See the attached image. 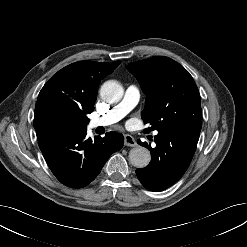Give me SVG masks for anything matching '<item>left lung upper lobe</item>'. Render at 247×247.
Returning <instances> with one entry per match:
<instances>
[{"instance_id": "5c2ea615", "label": "left lung upper lobe", "mask_w": 247, "mask_h": 247, "mask_svg": "<svg viewBox=\"0 0 247 247\" xmlns=\"http://www.w3.org/2000/svg\"><path fill=\"white\" fill-rule=\"evenodd\" d=\"M146 93L141 117L158 132L174 124L201 130V103L198 88L189 72L174 60L158 56L127 65Z\"/></svg>"}]
</instances>
